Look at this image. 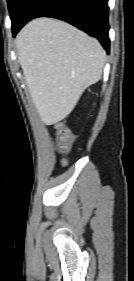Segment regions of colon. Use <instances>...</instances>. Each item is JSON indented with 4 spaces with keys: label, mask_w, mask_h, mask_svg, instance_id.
Listing matches in <instances>:
<instances>
[{
    "label": "colon",
    "mask_w": 134,
    "mask_h": 281,
    "mask_svg": "<svg viewBox=\"0 0 134 281\" xmlns=\"http://www.w3.org/2000/svg\"><path fill=\"white\" fill-rule=\"evenodd\" d=\"M56 135L58 141V150L60 153H66L73 141L71 130L63 123L56 124Z\"/></svg>",
    "instance_id": "1"
}]
</instances>
